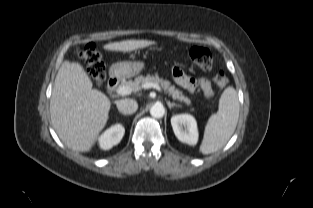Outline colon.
<instances>
[{
    "mask_svg": "<svg viewBox=\"0 0 313 208\" xmlns=\"http://www.w3.org/2000/svg\"><path fill=\"white\" fill-rule=\"evenodd\" d=\"M190 59L201 69L209 70L213 64V55L211 51L203 46L191 47L188 51ZM81 57L87 64L89 73L96 85H101L106 76L105 64L100 53L93 44L87 45L81 52ZM218 87H224L228 84V78L223 72H218L214 78Z\"/></svg>",
    "mask_w": 313,
    "mask_h": 208,
    "instance_id": "5ec220e1",
    "label": "colon"
}]
</instances>
